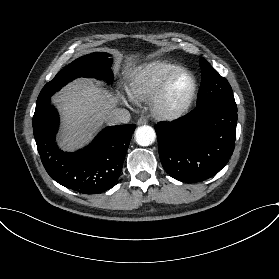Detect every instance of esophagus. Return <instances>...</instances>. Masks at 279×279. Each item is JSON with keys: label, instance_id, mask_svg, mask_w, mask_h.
Instances as JSON below:
<instances>
[{"label": "esophagus", "instance_id": "esophagus-1", "mask_svg": "<svg viewBox=\"0 0 279 279\" xmlns=\"http://www.w3.org/2000/svg\"><path fill=\"white\" fill-rule=\"evenodd\" d=\"M148 121H147V119L145 118V117H140L138 120H137V124L138 125H144V124H146Z\"/></svg>", "mask_w": 279, "mask_h": 279}]
</instances>
